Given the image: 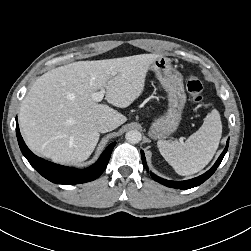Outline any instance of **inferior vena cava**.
<instances>
[{"label":"inferior vena cava","instance_id":"obj_1","mask_svg":"<svg viewBox=\"0 0 251 251\" xmlns=\"http://www.w3.org/2000/svg\"><path fill=\"white\" fill-rule=\"evenodd\" d=\"M97 128L101 133L111 131L115 128L114 124L107 119H99L97 121Z\"/></svg>","mask_w":251,"mask_h":251}]
</instances>
